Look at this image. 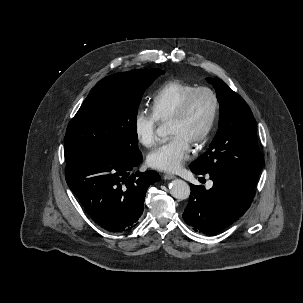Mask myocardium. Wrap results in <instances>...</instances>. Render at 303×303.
<instances>
[{
	"label": "myocardium",
	"mask_w": 303,
	"mask_h": 303,
	"mask_svg": "<svg viewBox=\"0 0 303 303\" xmlns=\"http://www.w3.org/2000/svg\"><path fill=\"white\" fill-rule=\"evenodd\" d=\"M201 92H206L211 96L213 101V109L206 128L194 143L196 147L202 146L207 141L216 124L220 110V102L216 92L213 89L206 86L196 87L185 96V98L182 100L181 104L175 111V113L169 119V122L182 120L186 116L195 96Z\"/></svg>",
	"instance_id": "myocardium-1"
}]
</instances>
